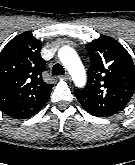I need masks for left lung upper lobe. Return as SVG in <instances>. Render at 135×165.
I'll use <instances>...</instances> for the list:
<instances>
[{
	"mask_svg": "<svg viewBox=\"0 0 135 165\" xmlns=\"http://www.w3.org/2000/svg\"><path fill=\"white\" fill-rule=\"evenodd\" d=\"M86 48L91 61L88 82L75 95L87 111L111 116L122 110L134 93V63L127 50L108 36L93 40Z\"/></svg>",
	"mask_w": 135,
	"mask_h": 165,
	"instance_id": "5c2ea615",
	"label": "left lung upper lobe"
}]
</instances>
